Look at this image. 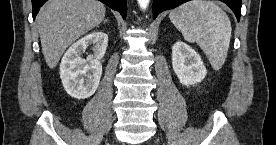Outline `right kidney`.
I'll list each match as a JSON object with an SVG mask.
<instances>
[{
  "mask_svg": "<svg viewBox=\"0 0 276 145\" xmlns=\"http://www.w3.org/2000/svg\"><path fill=\"white\" fill-rule=\"evenodd\" d=\"M93 45V54L83 59L81 54ZM108 45V35L94 31L79 39L64 54L60 63V77L65 91L78 100L92 96L102 75L101 59Z\"/></svg>",
  "mask_w": 276,
  "mask_h": 145,
  "instance_id": "right-kidney-1",
  "label": "right kidney"
}]
</instances>
